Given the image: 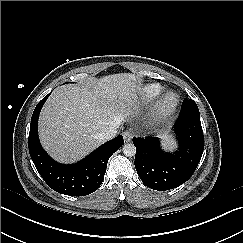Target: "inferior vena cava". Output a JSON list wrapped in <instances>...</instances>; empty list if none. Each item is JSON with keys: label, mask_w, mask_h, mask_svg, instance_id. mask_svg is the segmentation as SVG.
<instances>
[{"label": "inferior vena cava", "mask_w": 243, "mask_h": 243, "mask_svg": "<svg viewBox=\"0 0 243 243\" xmlns=\"http://www.w3.org/2000/svg\"><path fill=\"white\" fill-rule=\"evenodd\" d=\"M118 128L119 126L110 127V129L107 132L99 134V138L102 140L113 139L118 133Z\"/></svg>", "instance_id": "obj_1"}]
</instances>
